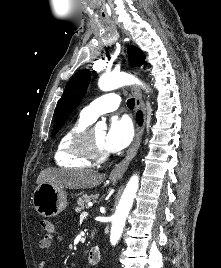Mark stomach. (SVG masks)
I'll return each instance as SVG.
<instances>
[{"label":"stomach","instance_id":"obj_1","mask_svg":"<svg viewBox=\"0 0 221 268\" xmlns=\"http://www.w3.org/2000/svg\"><path fill=\"white\" fill-rule=\"evenodd\" d=\"M32 202L35 210L40 215L54 217L66 208L67 193L62 187L42 183L35 188Z\"/></svg>","mask_w":221,"mask_h":268}]
</instances>
